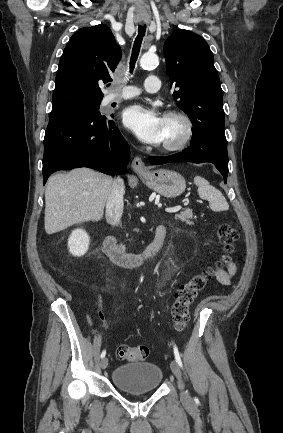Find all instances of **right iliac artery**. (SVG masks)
<instances>
[{"label":"right iliac artery","mask_w":283,"mask_h":433,"mask_svg":"<svg viewBox=\"0 0 283 433\" xmlns=\"http://www.w3.org/2000/svg\"><path fill=\"white\" fill-rule=\"evenodd\" d=\"M105 355H106V350H103L102 353H101V358H104Z\"/></svg>","instance_id":"1"}]
</instances>
